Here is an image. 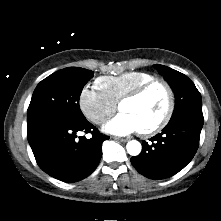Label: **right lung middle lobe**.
I'll return each mask as SVG.
<instances>
[{
  "label": "right lung middle lobe",
  "mask_w": 221,
  "mask_h": 221,
  "mask_svg": "<svg viewBox=\"0 0 221 221\" xmlns=\"http://www.w3.org/2000/svg\"><path fill=\"white\" fill-rule=\"evenodd\" d=\"M93 72L79 67L59 70L42 80L33 92L27 110V123L54 115L84 117L79 99Z\"/></svg>",
  "instance_id": "1"
}]
</instances>
